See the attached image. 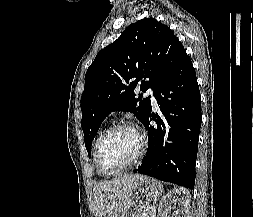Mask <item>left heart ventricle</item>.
I'll list each match as a JSON object with an SVG mask.
<instances>
[{
  "mask_svg": "<svg viewBox=\"0 0 253 217\" xmlns=\"http://www.w3.org/2000/svg\"><path fill=\"white\" fill-rule=\"evenodd\" d=\"M139 141L136 133L129 129H118L105 140L100 161L106 171L116 170L127 164L136 155Z\"/></svg>",
  "mask_w": 253,
  "mask_h": 217,
  "instance_id": "left-heart-ventricle-1",
  "label": "left heart ventricle"
}]
</instances>
